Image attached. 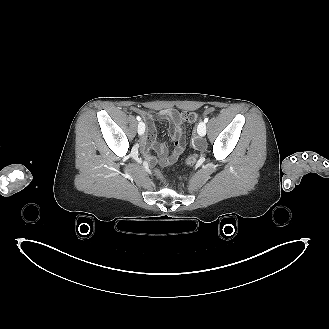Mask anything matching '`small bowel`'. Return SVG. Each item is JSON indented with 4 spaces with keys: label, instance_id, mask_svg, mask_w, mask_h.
Returning a JSON list of instances; mask_svg holds the SVG:
<instances>
[{
    "label": "small bowel",
    "instance_id": "1",
    "mask_svg": "<svg viewBox=\"0 0 329 329\" xmlns=\"http://www.w3.org/2000/svg\"><path fill=\"white\" fill-rule=\"evenodd\" d=\"M137 112L147 122V130L141 141L145 149V157L151 163H156L157 159L150 153L153 149L159 155V162L166 165L174 162L184 151L185 143L183 138V121L180 112L174 108L162 109L159 115L169 122V132L174 142V150L168 154L164 145L156 141V127L153 123V116L143 109H137Z\"/></svg>",
    "mask_w": 329,
    "mask_h": 329
}]
</instances>
